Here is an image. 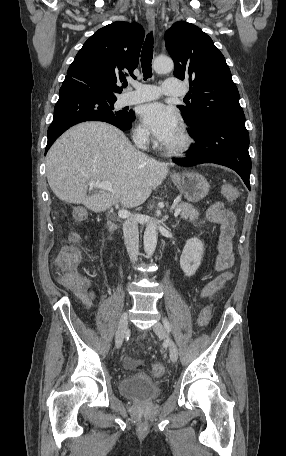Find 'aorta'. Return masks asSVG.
I'll return each instance as SVG.
<instances>
[{
  "label": "aorta",
  "instance_id": "762f6f07",
  "mask_svg": "<svg viewBox=\"0 0 286 456\" xmlns=\"http://www.w3.org/2000/svg\"><path fill=\"white\" fill-rule=\"evenodd\" d=\"M155 72L159 74L171 72L174 68L172 59L168 57H157L153 62ZM157 224L151 221L144 232V251L148 257L152 256L157 246Z\"/></svg>",
  "mask_w": 286,
  "mask_h": 456
}]
</instances>
